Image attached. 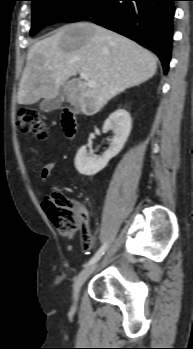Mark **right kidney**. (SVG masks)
<instances>
[{
	"label": "right kidney",
	"instance_id": "right-kidney-1",
	"mask_svg": "<svg viewBox=\"0 0 193 349\" xmlns=\"http://www.w3.org/2000/svg\"><path fill=\"white\" fill-rule=\"evenodd\" d=\"M104 131L112 130L114 136L110 147L101 157L90 156L86 146H82L75 157V167L80 174L95 175L104 169L108 162L123 149L132 129V119L125 109L113 112L105 121Z\"/></svg>",
	"mask_w": 193,
	"mask_h": 349
}]
</instances>
